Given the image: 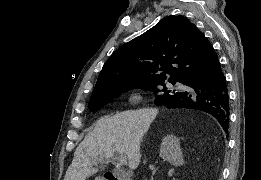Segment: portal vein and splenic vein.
I'll return each mask as SVG.
<instances>
[{
  "label": "portal vein and splenic vein",
  "instance_id": "obj_1",
  "mask_svg": "<svg viewBox=\"0 0 261 180\" xmlns=\"http://www.w3.org/2000/svg\"><path fill=\"white\" fill-rule=\"evenodd\" d=\"M119 162H120V164H124V162H127L126 156H122V158H120Z\"/></svg>",
  "mask_w": 261,
  "mask_h": 180
}]
</instances>
